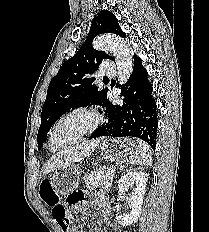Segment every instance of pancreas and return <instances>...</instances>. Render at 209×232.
Wrapping results in <instances>:
<instances>
[{"label":"pancreas","mask_w":209,"mask_h":232,"mask_svg":"<svg viewBox=\"0 0 209 232\" xmlns=\"http://www.w3.org/2000/svg\"><path fill=\"white\" fill-rule=\"evenodd\" d=\"M113 169L112 167H101L96 171H93L89 176L85 177L84 182L87 189L90 191L95 188L102 187L104 189H110L112 185V179L109 175V171Z\"/></svg>","instance_id":"1"}]
</instances>
